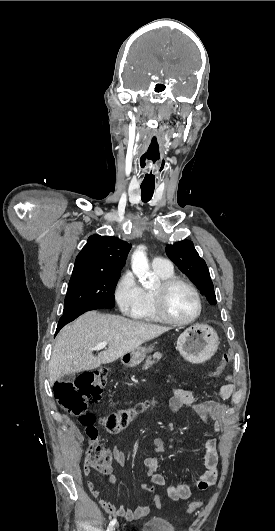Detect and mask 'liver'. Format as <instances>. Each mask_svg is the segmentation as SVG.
Wrapping results in <instances>:
<instances>
[{
	"label": "liver",
	"instance_id": "6515ba94",
	"mask_svg": "<svg viewBox=\"0 0 275 531\" xmlns=\"http://www.w3.org/2000/svg\"><path fill=\"white\" fill-rule=\"evenodd\" d=\"M166 331H170V327L88 311L74 323L66 325L57 335L49 361L50 385H54L64 375L91 371L100 365L113 363L125 353L138 349L142 343L156 339ZM103 341H107L108 349L94 357L93 351L89 349Z\"/></svg>",
	"mask_w": 275,
	"mask_h": 531
}]
</instances>
